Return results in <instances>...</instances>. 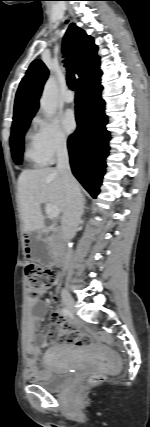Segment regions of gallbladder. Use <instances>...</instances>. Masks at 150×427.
<instances>
[{
  "mask_svg": "<svg viewBox=\"0 0 150 427\" xmlns=\"http://www.w3.org/2000/svg\"><path fill=\"white\" fill-rule=\"evenodd\" d=\"M31 241V256L42 265H49L53 261V257L47 244L43 240L38 239L36 235L31 237Z\"/></svg>",
  "mask_w": 150,
  "mask_h": 427,
  "instance_id": "1",
  "label": "gallbladder"
}]
</instances>
